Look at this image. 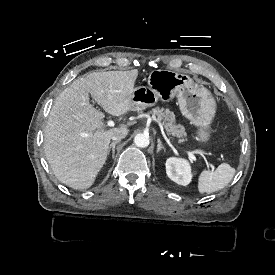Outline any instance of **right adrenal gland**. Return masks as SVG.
Instances as JSON below:
<instances>
[{"mask_svg":"<svg viewBox=\"0 0 275 275\" xmlns=\"http://www.w3.org/2000/svg\"><path fill=\"white\" fill-rule=\"evenodd\" d=\"M120 141H113L109 148H108V155L110 154V151L112 150V158L114 159L115 158V147H116V144H118Z\"/></svg>","mask_w":275,"mask_h":275,"instance_id":"2a0ac1e0","label":"right adrenal gland"}]
</instances>
